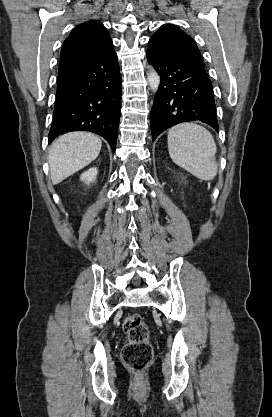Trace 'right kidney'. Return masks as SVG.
Returning a JSON list of instances; mask_svg holds the SVG:
<instances>
[{"label": "right kidney", "mask_w": 272, "mask_h": 417, "mask_svg": "<svg viewBox=\"0 0 272 417\" xmlns=\"http://www.w3.org/2000/svg\"><path fill=\"white\" fill-rule=\"evenodd\" d=\"M98 174V170L96 167L90 168L88 171L84 172L80 179L81 181L85 182L86 184H90L95 181L96 176Z\"/></svg>", "instance_id": "obj_1"}]
</instances>
